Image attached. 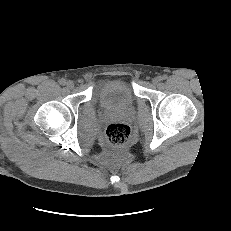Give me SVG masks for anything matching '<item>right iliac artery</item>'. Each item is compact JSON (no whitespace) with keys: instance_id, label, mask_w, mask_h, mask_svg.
Segmentation results:
<instances>
[{"instance_id":"82829eb1","label":"right iliac artery","mask_w":231,"mask_h":231,"mask_svg":"<svg viewBox=\"0 0 231 231\" xmlns=\"http://www.w3.org/2000/svg\"><path fill=\"white\" fill-rule=\"evenodd\" d=\"M59 83H60V85H65L66 84V80L65 79H60V81H59Z\"/></svg>"}]
</instances>
